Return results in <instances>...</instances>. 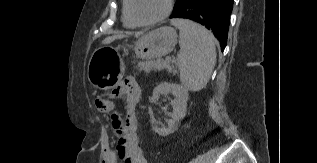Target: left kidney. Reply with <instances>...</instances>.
I'll return each instance as SVG.
<instances>
[{"label": "left kidney", "instance_id": "left-kidney-1", "mask_svg": "<svg viewBox=\"0 0 317 163\" xmlns=\"http://www.w3.org/2000/svg\"><path fill=\"white\" fill-rule=\"evenodd\" d=\"M174 95V100H172L171 105L173 107V112L170 114V119L168 121L167 127H156L152 126V130L159 134L160 136H167L178 129L180 121L186 115L187 101H188V90L182 85L162 82L156 86L153 90V97L158 99L160 94Z\"/></svg>", "mask_w": 317, "mask_h": 163}]
</instances>
